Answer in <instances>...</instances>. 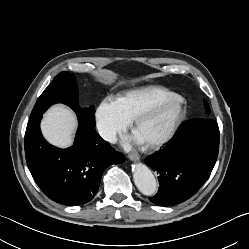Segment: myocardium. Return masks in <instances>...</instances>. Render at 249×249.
<instances>
[{
    "label": "myocardium",
    "instance_id": "myocardium-1",
    "mask_svg": "<svg viewBox=\"0 0 249 249\" xmlns=\"http://www.w3.org/2000/svg\"><path fill=\"white\" fill-rule=\"evenodd\" d=\"M173 101H176V103L178 105L176 117H175L172 125L168 129V131L163 136H161L160 138H158L154 141L146 143L147 146L152 148V149L159 148V147L165 145L166 143H168L172 139V137L174 136V134L176 133V131L178 130L180 124L182 123V121L184 119L186 107H187L186 100L182 96L177 95V94H174V95L169 96L167 98L160 99V100L156 101L155 103H152L151 105L147 106L145 109H143L133 120V130H134V132H136L137 127L145 119L150 117L160 107H162L168 103H171Z\"/></svg>",
    "mask_w": 249,
    "mask_h": 249
}]
</instances>
